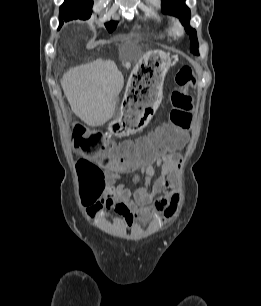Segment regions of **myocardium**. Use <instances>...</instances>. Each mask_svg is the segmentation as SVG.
Instances as JSON below:
<instances>
[{"label":"myocardium","instance_id":"myocardium-1","mask_svg":"<svg viewBox=\"0 0 261 306\" xmlns=\"http://www.w3.org/2000/svg\"><path fill=\"white\" fill-rule=\"evenodd\" d=\"M183 33H184L183 26L178 21H176L173 25V34L176 36H181L183 35Z\"/></svg>","mask_w":261,"mask_h":306}]
</instances>
